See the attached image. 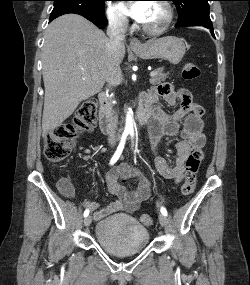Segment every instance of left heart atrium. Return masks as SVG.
<instances>
[{
  "mask_svg": "<svg viewBox=\"0 0 250 285\" xmlns=\"http://www.w3.org/2000/svg\"><path fill=\"white\" fill-rule=\"evenodd\" d=\"M151 5L152 4L147 1L135 2L128 5L127 12L136 21L144 23L148 16Z\"/></svg>",
  "mask_w": 250,
  "mask_h": 285,
  "instance_id": "obj_1",
  "label": "left heart atrium"
}]
</instances>
